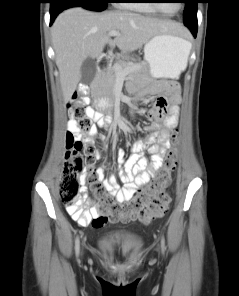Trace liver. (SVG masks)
I'll list each match as a JSON object with an SVG mask.
<instances>
[{
    "instance_id": "liver-1",
    "label": "liver",
    "mask_w": 239,
    "mask_h": 296,
    "mask_svg": "<svg viewBox=\"0 0 239 296\" xmlns=\"http://www.w3.org/2000/svg\"><path fill=\"white\" fill-rule=\"evenodd\" d=\"M120 34L114 40L110 31ZM180 24L126 11L93 12L69 8L56 18L51 35L59 69L64 101L71 99L81 80V66L87 57L97 58L105 45L123 52L135 51L162 33L181 34Z\"/></svg>"
}]
</instances>
